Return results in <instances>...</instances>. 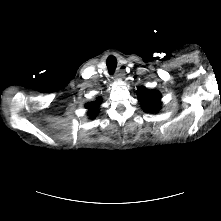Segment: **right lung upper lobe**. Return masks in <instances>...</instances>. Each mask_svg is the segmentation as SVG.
Here are the masks:
<instances>
[{"label":"right lung upper lobe","instance_id":"1","mask_svg":"<svg viewBox=\"0 0 221 221\" xmlns=\"http://www.w3.org/2000/svg\"><path fill=\"white\" fill-rule=\"evenodd\" d=\"M100 99L95 103H88L86 104V108L88 109V115L90 118H94L98 114V108L100 104Z\"/></svg>","mask_w":221,"mask_h":221}]
</instances>
